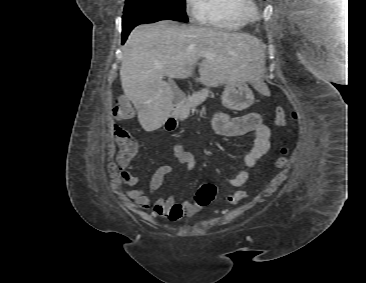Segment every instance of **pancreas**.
Listing matches in <instances>:
<instances>
[{
  "mask_svg": "<svg viewBox=\"0 0 366 283\" xmlns=\"http://www.w3.org/2000/svg\"><path fill=\"white\" fill-rule=\"evenodd\" d=\"M210 90L205 88L202 89L200 92L194 93L191 96H188L183 101H181L176 107V116L184 120L189 116L190 110L200 101H203L207 98Z\"/></svg>",
  "mask_w": 366,
  "mask_h": 283,
  "instance_id": "cf45deb5",
  "label": "pancreas"
}]
</instances>
